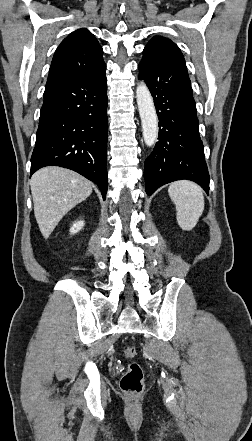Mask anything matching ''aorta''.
<instances>
[{"instance_id":"762f6f07","label":"aorta","mask_w":252,"mask_h":441,"mask_svg":"<svg viewBox=\"0 0 252 441\" xmlns=\"http://www.w3.org/2000/svg\"><path fill=\"white\" fill-rule=\"evenodd\" d=\"M136 100L144 142L148 147H151L156 143L158 137V118L151 93L143 81L136 88Z\"/></svg>"}]
</instances>
